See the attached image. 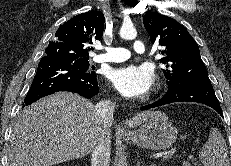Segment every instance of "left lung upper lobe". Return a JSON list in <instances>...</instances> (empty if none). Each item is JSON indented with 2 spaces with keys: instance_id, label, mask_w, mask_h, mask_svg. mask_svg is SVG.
Listing matches in <instances>:
<instances>
[{
  "instance_id": "obj_1",
  "label": "left lung upper lobe",
  "mask_w": 231,
  "mask_h": 166,
  "mask_svg": "<svg viewBox=\"0 0 231 166\" xmlns=\"http://www.w3.org/2000/svg\"><path fill=\"white\" fill-rule=\"evenodd\" d=\"M143 23L151 42L164 47L159 61L168 68L163 69L168 89L186 82L211 83L199 47L185 27L154 12L146 13Z\"/></svg>"
}]
</instances>
